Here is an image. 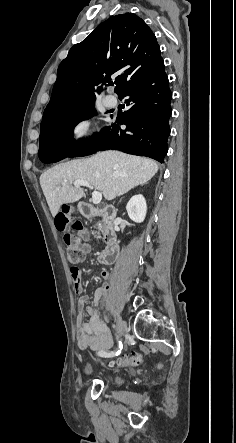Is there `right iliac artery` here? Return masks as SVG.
<instances>
[{"label":"right iliac artery","instance_id":"82829eb1","mask_svg":"<svg viewBox=\"0 0 236 443\" xmlns=\"http://www.w3.org/2000/svg\"><path fill=\"white\" fill-rule=\"evenodd\" d=\"M121 350H122V343L119 341L117 351L110 352V353L105 352V351H100V352H98V355L102 356V357H113V356L119 355L121 353Z\"/></svg>","mask_w":236,"mask_h":443}]
</instances>
